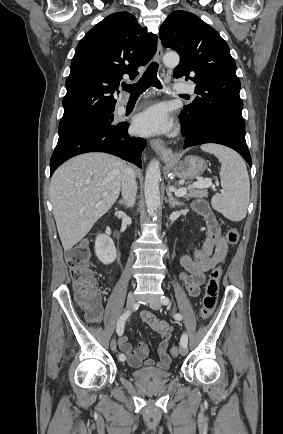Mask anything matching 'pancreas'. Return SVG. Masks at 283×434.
<instances>
[{
  "mask_svg": "<svg viewBox=\"0 0 283 434\" xmlns=\"http://www.w3.org/2000/svg\"><path fill=\"white\" fill-rule=\"evenodd\" d=\"M188 193L185 195V198H203L208 196V191L206 188H199L193 185H188L186 188Z\"/></svg>",
  "mask_w": 283,
  "mask_h": 434,
  "instance_id": "1",
  "label": "pancreas"
}]
</instances>
